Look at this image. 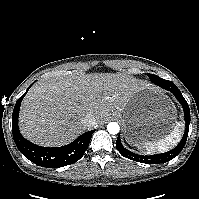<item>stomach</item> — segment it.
<instances>
[{
	"mask_svg": "<svg viewBox=\"0 0 199 199\" xmlns=\"http://www.w3.org/2000/svg\"><path fill=\"white\" fill-rule=\"evenodd\" d=\"M113 116L122 122L125 139L131 145L162 136L174 119L165 96L144 89L135 93L125 108L114 111Z\"/></svg>",
	"mask_w": 199,
	"mask_h": 199,
	"instance_id": "0dacf381",
	"label": "stomach"
}]
</instances>
